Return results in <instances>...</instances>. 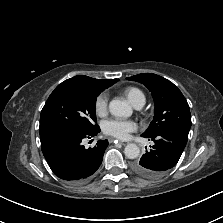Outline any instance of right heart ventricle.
<instances>
[{"label": "right heart ventricle", "instance_id": "e07e8e85", "mask_svg": "<svg viewBox=\"0 0 223 223\" xmlns=\"http://www.w3.org/2000/svg\"><path fill=\"white\" fill-rule=\"evenodd\" d=\"M125 96L132 103L133 106H137L138 104L145 103V95L144 93L136 87H128L124 90Z\"/></svg>", "mask_w": 223, "mask_h": 223}]
</instances>
